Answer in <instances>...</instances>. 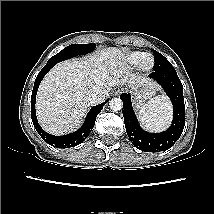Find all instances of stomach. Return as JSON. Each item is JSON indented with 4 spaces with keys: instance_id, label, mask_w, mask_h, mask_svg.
Instances as JSON below:
<instances>
[{
    "instance_id": "1",
    "label": "stomach",
    "mask_w": 214,
    "mask_h": 214,
    "mask_svg": "<svg viewBox=\"0 0 214 214\" xmlns=\"http://www.w3.org/2000/svg\"><path fill=\"white\" fill-rule=\"evenodd\" d=\"M156 93V87L153 85H144L134 94V103L136 108H140L146 100L151 98Z\"/></svg>"
}]
</instances>
